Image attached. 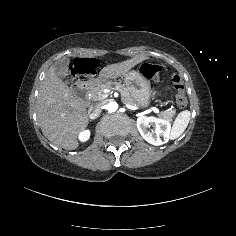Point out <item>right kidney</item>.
Returning <instances> with one entry per match:
<instances>
[{
    "mask_svg": "<svg viewBox=\"0 0 236 236\" xmlns=\"http://www.w3.org/2000/svg\"><path fill=\"white\" fill-rule=\"evenodd\" d=\"M89 138H90V131L89 130H83L78 135V139L81 142H86Z\"/></svg>",
    "mask_w": 236,
    "mask_h": 236,
    "instance_id": "obj_1",
    "label": "right kidney"
}]
</instances>
